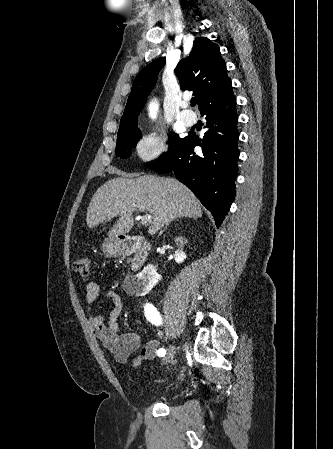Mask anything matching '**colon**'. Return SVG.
Instances as JSON below:
<instances>
[{"label": "colon", "mask_w": 333, "mask_h": 449, "mask_svg": "<svg viewBox=\"0 0 333 449\" xmlns=\"http://www.w3.org/2000/svg\"><path fill=\"white\" fill-rule=\"evenodd\" d=\"M91 267V260L88 256L78 258L74 262V269L81 275H88Z\"/></svg>", "instance_id": "colon-1"}]
</instances>
